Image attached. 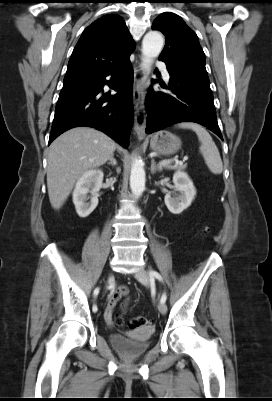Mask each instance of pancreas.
<instances>
[{
    "label": "pancreas",
    "mask_w": 272,
    "mask_h": 401,
    "mask_svg": "<svg viewBox=\"0 0 272 401\" xmlns=\"http://www.w3.org/2000/svg\"><path fill=\"white\" fill-rule=\"evenodd\" d=\"M186 167H187V164H181V163H178L174 166H172L170 164L164 166V168H166L168 170H179V171L186 169Z\"/></svg>",
    "instance_id": "1"
}]
</instances>
